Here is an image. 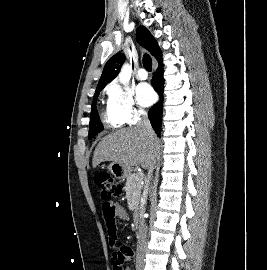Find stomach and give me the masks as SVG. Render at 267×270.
Returning a JSON list of instances; mask_svg holds the SVG:
<instances>
[{"label":"stomach","instance_id":"obj_1","mask_svg":"<svg viewBox=\"0 0 267 270\" xmlns=\"http://www.w3.org/2000/svg\"><path fill=\"white\" fill-rule=\"evenodd\" d=\"M108 169L111 172V174L117 179H125L131 174V169L116 162H112L108 166Z\"/></svg>","mask_w":267,"mask_h":270}]
</instances>
